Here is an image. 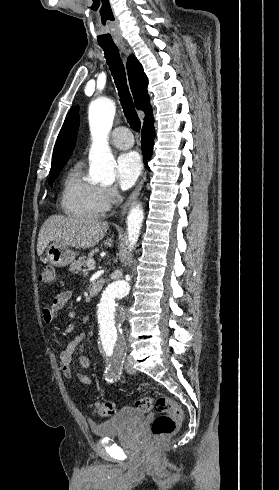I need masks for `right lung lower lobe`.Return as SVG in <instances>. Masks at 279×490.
<instances>
[{"mask_svg":"<svg viewBox=\"0 0 279 490\" xmlns=\"http://www.w3.org/2000/svg\"><path fill=\"white\" fill-rule=\"evenodd\" d=\"M154 136L155 130L153 126H146L145 128H142V152L145 160L151 159Z\"/></svg>","mask_w":279,"mask_h":490,"instance_id":"obj_1","label":"right lung lower lobe"}]
</instances>
